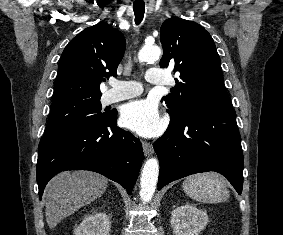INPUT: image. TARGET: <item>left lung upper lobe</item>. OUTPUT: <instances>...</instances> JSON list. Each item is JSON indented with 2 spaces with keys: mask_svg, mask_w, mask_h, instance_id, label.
I'll return each instance as SVG.
<instances>
[{
  "mask_svg": "<svg viewBox=\"0 0 283 235\" xmlns=\"http://www.w3.org/2000/svg\"><path fill=\"white\" fill-rule=\"evenodd\" d=\"M160 40L162 68L174 65L176 89L163 102L171 121L197 112L233 109L225 89L221 61L210 34L199 24L178 17L164 21Z\"/></svg>",
  "mask_w": 283,
  "mask_h": 235,
  "instance_id": "5c2ea615",
  "label": "left lung upper lobe"
}]
</instances>
